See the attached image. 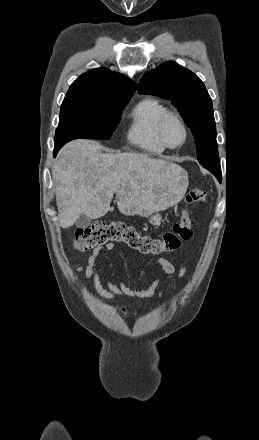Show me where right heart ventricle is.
Segmentation results:
<instances>
[{
    "mask_svg": "<svg viewBox=\"0 0 259 440\" xmlns=\"http://www.w3.org/2000/svg\"><path fill=\"white\" fill-rule=\"evenodd\" d=\"M167 106L156 98L140 100L129 114L126 138L132 145L150 154H161L165 147L157 136V126Z\"/></svg>",
    "mask_w": 259,
    "mask_h": 440,
    "instance_id": "1",
    "label": "right heart ventricle"
}]
</instances>
